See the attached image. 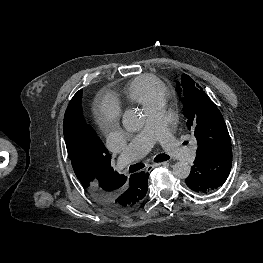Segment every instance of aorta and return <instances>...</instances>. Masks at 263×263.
Masks as SVG:
<instances>
[{
    "label": "aorta",
    "mask_w": 263,
    "mask_h": 263,
    "mask_svg": "<svg viewBox=\"0 0 263 263\" xmlns=\"http://www.w3.org/2000/svg\"><path fill=\"white\" fill-rule=\"evenodd\" d=\"M123 126L129 132L139 131L143 125L144 120L140 112L129 109L123 115ZM191 167L187 162L179 161L173 165V174L175 177L185 179L190 175Z\"/></svg>",
    "instance_id": "aorta-1"
}]
</instances>
